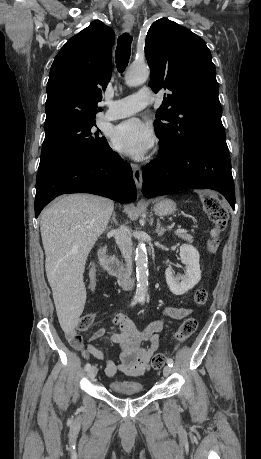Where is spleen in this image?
Returning <instances> with one entry per match:
<instances>
[{"label":"spleen","mask_w":261,"mask_h":459,"mask_svg":"<svg viewBox=\"0 0 261 459\" xmlns=\"http://www.w3.org/2000/svg\"><path fill=\"white\" fill-rule=\"evenodd\" d=\"M211 235H212V236H215V235H216L215 230H211Z\"/></svg>","instance_id":"1"}]
</instances>
